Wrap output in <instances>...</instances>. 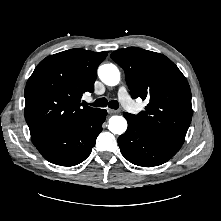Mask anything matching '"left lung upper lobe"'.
I'll return each instance as SVG.
<instances>
[{
    "label": "left lung upper lobe",
    "mask_w": 221,
    "mask_h": 221,
    "mask_svg": "<svg viewBox=\"0 0 221 221\" xmlns=\"http://www.w3.org/2000/svg\"><path fill=\"white\" fill-rule=\"evenodd\" d=\"M111 58L125 71L132 98L148 99L134 118L154 136L183 145L192 119L191 90L178 67L166 56L129 47Z\"/></svg>",
    "instance_id": "1"
}]
</instances>
